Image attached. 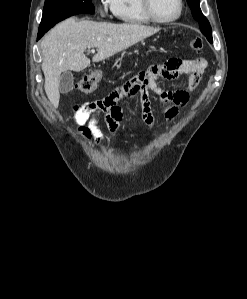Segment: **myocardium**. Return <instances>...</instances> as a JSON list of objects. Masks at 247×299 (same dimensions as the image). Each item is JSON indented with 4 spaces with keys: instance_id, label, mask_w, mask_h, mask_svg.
<instances>
[{
    "instance_id": "f54148a6",
    "label": "myocardium",
    "mask_w": 247,
    "mask_h": 299,
    "mask_svg": "<svg viewBox=\"0 0 247 299\" xmlns=\"http://www.w3.org/2000/svg\"><path fill=\"white\" fill-rule=\"evenodd\" d=\"M178 3V10L175 16L168 19H161L157 17V15L154 13L152 8V0H142V6L145 14L153 21L159 24H169L176 20H178L182 14L183 10V0H177Z\"/></svg>"
}]
</instances>
